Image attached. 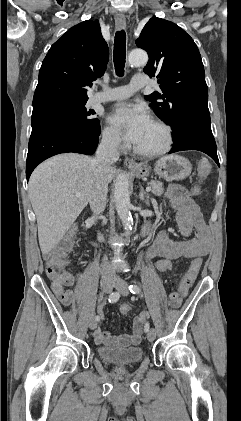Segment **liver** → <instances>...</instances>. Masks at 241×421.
<instances>
[{"label": "liver", "mask_w": 241, "mask_h": 421, "mask_svg": "<svg viewBox=\"0 0 241 421\" xmlns=\"http://www.w3.org/2000/svg\"><path fill=\"white\" fill-rule=\"evenodd\" d=\"M93 160L82 154H59L33 171L28 191L42 254H48L63 239L87 206L95 182ZM115 173L113 167L107 171L108 183ZM77 192L79 196H75Z\"/></svg>", "instance_id": "obj_1"}]
</instances>
